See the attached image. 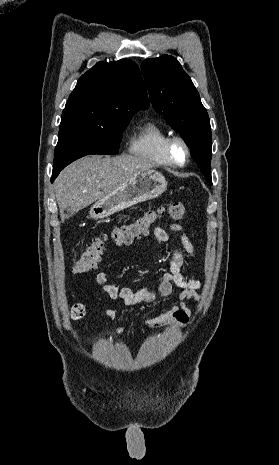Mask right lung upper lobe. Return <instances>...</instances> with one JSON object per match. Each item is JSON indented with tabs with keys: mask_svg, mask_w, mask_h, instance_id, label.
<instances>
[{
	"mask_svg": "<svg viewBox=\"0 0 279 465\" xmlns=\"http://www.w3.org/2000/svg\"><path fill=\"white\" fill-rule=\"evenodd\" d=\"M148 106L146 88L134 62H99L79 78L63 110L60 127L100 125L114 113H136Z\"/></svg>",
	"mask_w": 279,
	"mask_h": 465,
	"instance_id": "cb5924a9",
	"label": "right lung upper lobe"
}]
</instances>
